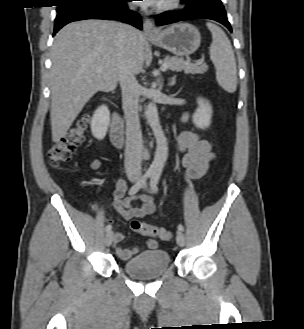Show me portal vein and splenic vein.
I'll use <instances>...</instances> for the list:
<instances>
[{"label": "portal vein and splenic vein", "instance_id": "1", "mask_svg": "<svg viewBox=\"0 0 304 329\" xmlns=\"http://www.w3.org/2000/svg\"><path fill=\"white\" fill-rule=\"evenodd\" d=\"M167 68H168V64L167 63H164V64H162V66H161V70L162 71H165V70H167ZM102 70L101 69H97V72H101Z\"/></svg>", "mask_w": 304, "mask_h": 329}]
</instances>
